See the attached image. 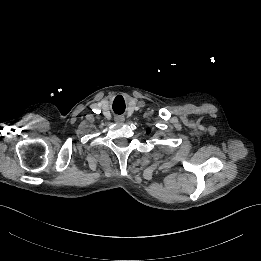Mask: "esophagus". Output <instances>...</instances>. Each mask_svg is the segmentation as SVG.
I'll return each instance as SVG.
<instances>
[{"label":"esophagus","instance_id":"1","mask_svg":"<svg viewBox=\"0 0 261 261\" xmlns=\"http://www.w3.org/2000/svg\"><path fill=\"white\" fill-rule=\"evenodd\" d=\"M124 120H125L124 116H116L114 118V121L117 122V123L124 122Z\"/></svg>","mask_w":261,"mask_h":261}]
</instances>
